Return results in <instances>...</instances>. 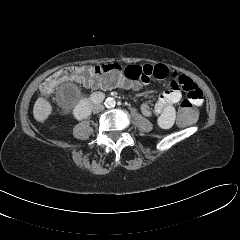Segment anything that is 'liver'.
<instances>
[{"mask_svg":"<svg viewBox=\"0 0 240 240\" xmlns=\"http://www.w3.org/2000/svg\"><path fill=\"white\" fill-rule=\"evenodd\" d=\"M51 112L52 106L49 101L43 97H39L36 100L33 108V115L35 120L38 122H44L49 117Z\"/></svg>","mask_w":240,"mask_h":240,"instance_id":"6515ba94","label":"liver"}]
</instances>
